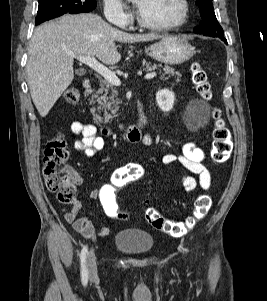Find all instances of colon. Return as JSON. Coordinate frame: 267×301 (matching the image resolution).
Returning a JSON list of instances; mask_svg holds the SVG:
<instances>
[{
	"mask_svg": "<svg viewBox=\"0 0 267 301\" xmlns=\"http://www.w3.org/2000/svg\"><path fill=\"white\" fill-rule=\"evenodd\" d=\"M191 77L197 93L203 99H209L211 91L208 76L197 62L191 66ZM63 98L66 103L74 105L80 98L79 90L75 87H69L65 90ZM213 117L215 127L210 154L213 162L219 164L227 161L231 155L233 148L232 136L218 110H214ZM68 159L69 151L63 134H57L48 140L44 150L43 176L48 190L55 193L58 200L63 204H72L76 198V188L72 174L65 167ZM145 176L146 169L138 163H128L116 169L110 182L102 185L98 190L96 200L104 215L113 220L125 219L127 215L120 207V196L131 184ZM211 206V197L207 194H201L194 202L191 216L185 221L167 219L151 207L146 209L145 219L155 229L174 237H180L189 232L197 222L205 218Z\"/></svg>",
	"mask_w": 267,
	"mask_h": 301,
	"instance_id": "5ec220e1",
	"label": "colon"
}]
</instances>
